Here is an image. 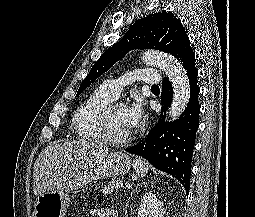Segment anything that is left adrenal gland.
Wrapping results in <instances>:
<instances>
[{
	"instance_id": "left-adrenal-gland-1",
	"label": "left adrenal gland",
	"mask_w": 255,
	"mask_h": 217,
	"mask_svg": "<svg viewBox=\"0 0 255 217\" xmlns=\"http://www.w3.org/2000/svg\"><path fill=\"white\" fill-rule=\"evenodd\" d=\"M143 184H146L145 182ZM141 184L137 185V187L135 188V190H133V192L131 193L130 196H132V194L138 189V187L140 186Z\"/></svg>"
}]
</instances>
